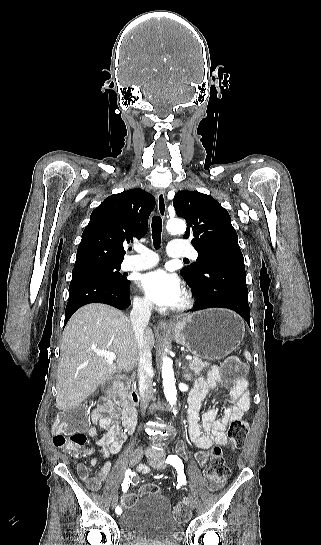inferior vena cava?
Instances as JSON below:
<instances>
[{
    "label": "inferior vena cava",
    "instance_id": "602c4592",
    "mask_svg": "<svg viewBox=\"0 0 321 545\" xmlns=\"http://www.w3.org/2000/svg\"><path fill=\"white\" fill-rule=\"evenodd\" d=\"M153 303L149 299H134L133 309L130 313L131 327L135 333L138 347H146L144 341V329L147 327L150 317ZM138 377H139V393L141 397V411L145 413L150 401L153 399V387H152V355L150 349H144L142 355L138 361ZM141 448L144 446L142 443L139 445Z\"/></svg>",
    "mask_w": 321,
    "mask_h": 545
}]
</instances>
